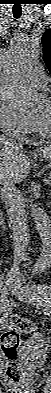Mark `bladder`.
<instances>
[{"instance_id": "obj_1", "label": "bladder", "mask_w": 51, "mask_h": 393, "mask_svg": "<svg viewBox=\"0 0 51 393\" xmlns=\"http://www.w3.org/2000/svg\"><path fill=\"white\" fill-rule=\"evenodd\" d=\"M43 372V368L36 370V374L39 375Z\"/></svg>"}]
</instances>
